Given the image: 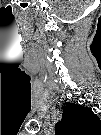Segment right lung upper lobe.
I'll return each instance as SVG.
<instances>
[{"label": "right lung upper lobe", "mask_w": 101, "mask_h": 135, "mask_svg": "<svg viewBox=\"0 0 101 135\" xmlns=\"http://www.w3.org/2000/svg\"><path fill=\"white\" fill-rule=\"evenodd\" d=\"M100 120L91 109L78 104L63 106L62 119L55 125V132L64 135H99Z\"/></svg>", "instance_id": "cb5924a9"}]
</instances>
